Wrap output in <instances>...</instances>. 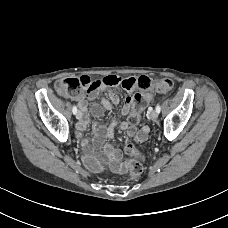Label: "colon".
I'll return each instance as SVG.
<instances>
[{
    "label": "colon",
    "mask_w": 228,
    "mask_h": 228,
    "mask_svg": "<svg viewBox=\"0 0 228 228\" xmlns=\"http://www.w3.org/2000/svg\"><path fill=\"white\" fill-rule=\"evenodd\" d=\"M122 86L126 90H137L132 98V112L128 118L130 124L136 126L140 113L151 100V92H166L173 86L170 79L162 78L152 81L147 76L128 77L125 79L117 76H106L102 79L91 81L88 77L65 78L58 80L54 87L62 96L77 97L84 91L93 92L104 87ZM125 154L128 157L123 163V169L128 173L130 180L137 179L143 172V166L138 160H144L146 156L141 154L133 145L125 146ZM136 158V159H133Z\"/></svg>",
    "instance_id": "1"
}]
</instances>
